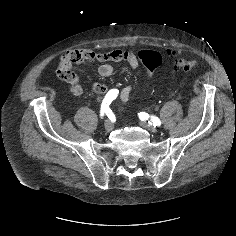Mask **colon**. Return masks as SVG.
Instances as JSON below:
<instances>
[{
  "mask_svg": "<svg viewBox=\"0 0 236 236\" xmlns=\"http://www.w3.org/2000/svg\"><path fill=\"white\" fill-rule=\"evenodd\" d=\"M169 54L172 57H175V67L177 69L183 71H192L198 66V62L195 60L182 57L177 58V53L175 51H169ZM138 57L149 74H152L162 64L163 61L162 55L159 52L150 49L141 50L138 54ZM69 67L70 62L68 60H62L57 70L59 77L64 78Z\"/></svg>",
  "mask_w": 236,
  "mask_h": 236,
  "instance_id": "colon-1",
  "label": "colon"
}]
</instances>
